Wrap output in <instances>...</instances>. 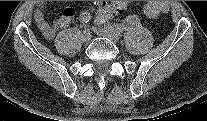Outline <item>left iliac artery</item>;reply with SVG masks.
<instances>
[{"mask_svg":"<svg viewBox=\"0 0 207 121\" xmlns=\"http://www.w3.org/2000/svg\"><path fill=\"white\" fill-rule=\"evenodd\" d=\"M137 17L136 16H131L130 18H125L123 20L120 21V24H116L114 25L115 29H117L118 31L122 32L124 29H126L127 26H131L134 23L137 22ZM113 27V26H112Z\"/></svg>","mask_w":207,"mask_h":121,"instance_id":"obj_1","label":"left iliac artery"}]
</instances>
